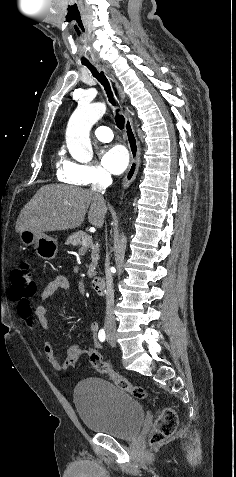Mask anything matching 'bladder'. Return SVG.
<instances>
[{
    "instance_id": "obj_1",
    "label": "bladder",
    "mask_w": 236,
    "mask_h": 477,
    "mask_svg": "<svg viewBox=\"0 0 236 477\" xmlns=\"http://www.w3.org/2000/svg\"><path fill=\"white\" fill-rule=\"evenodd\" d=\"M78 415L88 430L126 439L138 434L144 421L141 403L127 391L101 378H87L74 390Z\"/></svg>"
}]
</instances>
